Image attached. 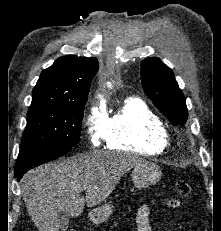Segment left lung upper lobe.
I'll use <instances>...</instances> for the list:
<instances>
[{"label": "left lung upper lobe", "instance_id": "left-lung-upper-lobe-1", "mask_svg": "<svg viewBox=\"0 0 221 231\" xmlns=\"http://www.w3.org/2000/svg\"><path fill=\"white\" fill-rule=\"evenodd\" d=\"M144 91L154 105L174 125H184L188 112L184 95L172 70L158 58H147L141 63Z\"/></svg>", "mask_w": 221, "mask_h": 231}]
</instances>
